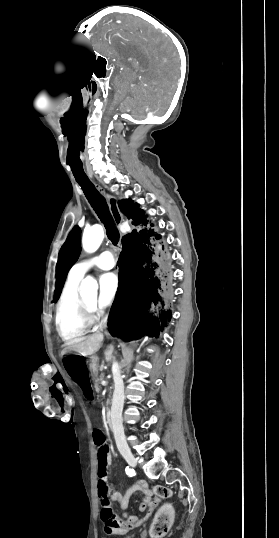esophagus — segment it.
<instances>
[{"label": "esophagus", "mask_w": 279, "mask_h": 538, "mask_svg": "<svg viewBox=\"0 0 279 538\" xmlns=\"http://www.w3.org/2000/svg\"><path fill=\"white\" fill-rule=\"evenodd\" d=\"M106 198L113 220L116 226L119 227L123 222V215L118 207L117 199L112 195H106Z\"/></svg>", "instance_id": "34e87169"}]
</instances>
